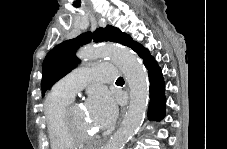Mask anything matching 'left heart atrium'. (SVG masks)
Wrapping results in <instances>:
<instances>
[{
  "label": "left heart atrium",
  "instance_id": "obj_1",
  "mask_svg": "<svg viewBox=\"0 0 227 149\" xmlns=\"http://www.w3.org/2000/svg\"><path fill=\"white\" fill-rule=\"evenodd\" d=\"M92 118L95 126L104 128L109 126L116 115L113 99L105 90H96L91 94Z\"/></svg>",
  "mask_w": 227,
  "mask_h": 149
}]
</instances>
